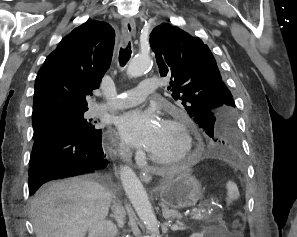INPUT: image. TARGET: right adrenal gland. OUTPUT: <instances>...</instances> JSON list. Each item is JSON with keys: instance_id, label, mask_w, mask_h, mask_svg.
<instances>
[{"instance_id": "obj_1", "label": "right adrenal gland", "mask_w": 297, "mask_h": 237, "mask_svg": "<svg viewBox=\"0 0 297 237\" xmlns=\"http://www.w3.org/2000/svg\"><path fill=\"white\" fill-rule=\"evenodd\" d=\"M113 205L111 206L112 214H110V217L114 218L115 221L118 224L119 228L124 227V219H125V214L124 215H119L117 212V208L119 207V201L116 200V198L113 196L112 200Z\"/></svg>"}]
</instances>
